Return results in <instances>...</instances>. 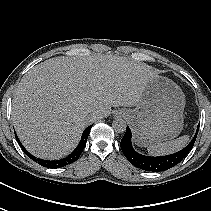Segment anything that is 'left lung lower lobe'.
Wrapping results in <instances>:
<instances>
[{"label":"left lung lower lobe","instance_id":"1","mask_svg":"<svg viewBox=\"0 0 211 211\" xmlns=\"http://www.w3.org/2000/svg\"><path fill=\"white\" fill-rule=\"evenodd\" d=\"M199 125L197 128L196 134L191 140V142L181 151L176 152L171 155L151 157V156H144L137 153L132 147L131 130L128 126L126 129V133L121 140L120 146L125 157L135 167L145 170V171H152V172L165 171L174 167L178 163H180L191 151L198 134Z\"/></svg>","mask_w":211,"mask_h":211}]
</instances>
